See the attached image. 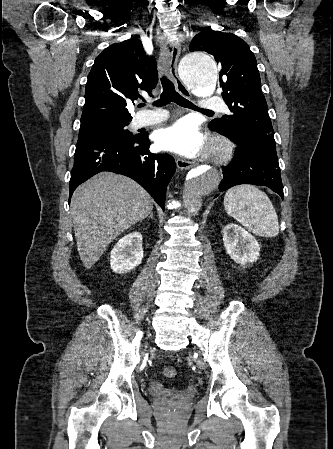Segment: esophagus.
Here are the masks:
<instances>
[{
	"label": "esophagus",
	"mask_w": 333,
	"mask_h": 449,
	"mask_svg": "<svg viewBox=\"0 0 333 449\" xmlns=\"http://www.w3.org/2000/svg\"><path fill=\"white\" fill-rule=\"evenodd\" d=\"M163 54H164V66L167 74L174 82L177 90L183 96L189 97L190 96L189 90L182 83L177 74V62L180 55V46L172 41H166L163 47ZM176 164L179 170H186L189 169L194 164V162L179 158L177 159Z\"/></svg>",
	"instance_id": "1"
}]
</instances>
